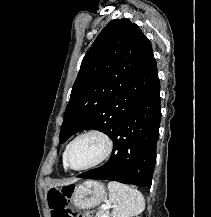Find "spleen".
<instances>
[{
	"instance_id": "3e777b00",
	"label": "spleen",
	"mask_w": 211,
	"mask_h": 217,
	"mask_svg": "<svg viewBox=\"0 0 211 217\" xmlns=\"http://www.w3.org/2000/svg\"><path fill=\"white\" fill-rule=\"evenodd\" d=\"M112 217H134L142 213L145 201L141 192L116 181L108 183Z\"/></svg>"
}]
</instances>
